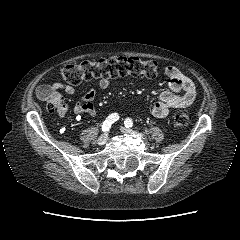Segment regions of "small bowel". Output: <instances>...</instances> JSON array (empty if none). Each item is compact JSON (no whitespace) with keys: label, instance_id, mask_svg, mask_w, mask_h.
<instances>
[{"label":"small bowel","instance_id":"obj_1","mask_svg":"<svg viewBox=\"0 0 240 240\" xmlns=\"http://www.w3.org/2000/svg\"><path fill=\"white\" fill-rule=\"evenodd\" d=\"M165 74L169 79V89L160 94L159 100L152 108V114L156 118H165L172 109L186 108L196 99L197 91L194 83L174 66H168ZM110 78H102L97 83V89L105 90L111 85ZM55 89H61L68 95H75L76 89L71 85L55 83ZM97 89L89 88L74 105L73 113L76 116L95 115L94 100ZM69 112V106L62 103L58 114L65 116Z\"/></svg>","mask_w":240,"mask_h":240}]
</instances>
